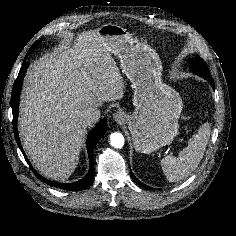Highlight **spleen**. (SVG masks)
Listing matches in <instances>:
<instances>
[{
	"label": "spleen",
	"instance_id": "spleen-1",
	"mask_svg": "<svg viewBox=\"0 0 236 236\" xmlns=\"http://www.w3.org/2000/svg\"><path fill=\"white\" fill-rule=\"evenodd\" d=\"M210 137V125L205 123L188 141L177 157L167 156L161 160V166L170 182L182 180L190 175L203 158Z\"/></svg>",
	"mask_w": 236,
	"mask_h": 236
}]
</instances>
